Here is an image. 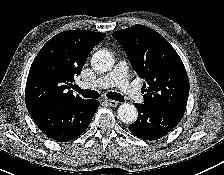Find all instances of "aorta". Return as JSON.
<instances>
[{
    "label": "aorta",
    "instance_id": "obj_1",
    "mask_svg": "<svg viewBox=\"0 0 224 175\" xmlns=\"http://www.w3.org/2000/svg\"><path fill=\"white\" fill-rule=\"evenodd\" d=\"M91 65L99 72H108L114 65L113 55L107 50H99L93 54ZM117 117L124 123H132L137 120L138 111L133 104L124 103L118 107Z\"/></svg>",
    "mask_w": 224,
    "mask_h": 175
}]
</instances>
